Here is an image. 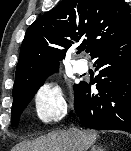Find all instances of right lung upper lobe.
<instances>
[{"label": "right lung upper lobe", "instance_id": "cb5924a9", "mask_svg": "<svg viewBox=\"0 0 131 151\" xmlns=\"http://www.w3.org/2000/svg\"><path fill=\"white\" fill-rule=\"evenodd\" d=\"M129 32L131 14L124 0H62L27 29L13 90L57 70L58 61L76 42L78 50L91 55Z\"/></svg>", "mask_w": 131, "mask_h": 151}]
</instances>
